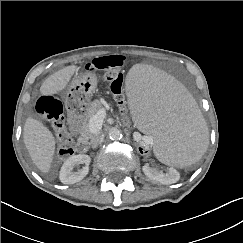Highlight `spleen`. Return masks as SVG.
<instances>
[{
  "label": "spleen",
  "mask_w": 243,
  "mask_h": 243,
  "mask_svg": "<svg viewBox=\"0 0 243 243\" xmlns=\"http://www.w3.org/2000/svg\"><path fill=\"white\" fill-rule=\"evenodd\" d=\"M130 113L165 165L195 164L209 144L208 129L190 96L169 75L148 65L126 78Z\"/></svg>",
  "instance_id": "3e777b00"
}]
</instances>
